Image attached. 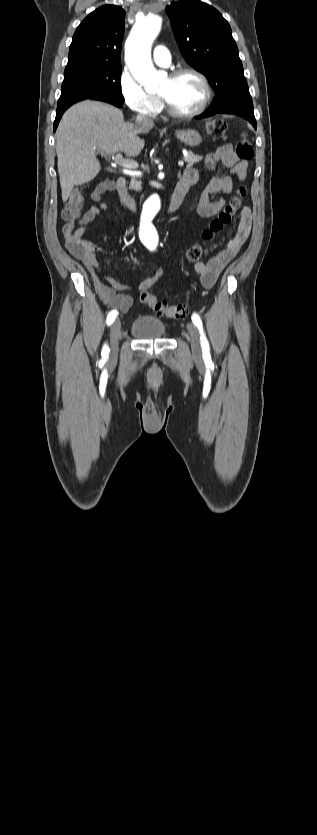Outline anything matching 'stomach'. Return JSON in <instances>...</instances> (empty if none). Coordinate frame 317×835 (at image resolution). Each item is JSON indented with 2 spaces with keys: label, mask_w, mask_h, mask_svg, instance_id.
Segmentation results:
<instances>
[{
  "label": "stomach",
  "mask_w": 317,
  "mask_h": 835,
  "mask_svg": "<svg viewBox=\"0 0 317 835\" xmlns=\"http://www.w3.org/2000/svg\"><path fill=\"white\" fill-rule=\"evenodd\" d=\"M175 135L181 142L190 147L199 146L202 142L199 132L192 129L177 130Z\"/></svg>",
  "instance_id": "obj_1"
}]
</instances>
